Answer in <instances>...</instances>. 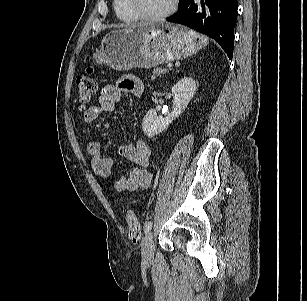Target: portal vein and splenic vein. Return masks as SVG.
<instances>
[{"label":"portal vein and splenic vein","instance_id":"18ae733b","mask_svg":"<svg viewBox=\"0 0 307 301\" xmlns=\"http://www.w3.org/2000/svg\"><path fill=\"white\" fill-rule=\"evenodd\" d=\"M167 67H168V68H172V64L169 63V64L167 65Z\"/></svg>","mask_w":307,"mask_h":301}]
</instances>
